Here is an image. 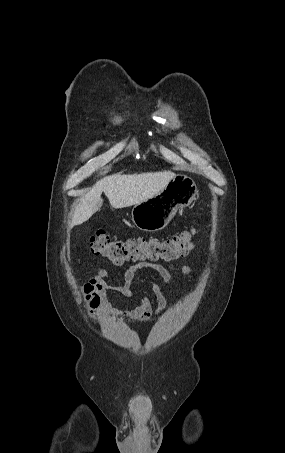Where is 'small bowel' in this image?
Returning a JSON list of instances; mask_svg holds the SVG:
<instances>
[{"label": "small bowel", "mask_w": 285, "mask_h": 453, "mask_svg": "<svg viewBox=\"0 0 285 453\" xmlns=\"http://www.w3.org/2000/svg\"><path fill=\"white\" fill-rule=\"evenodd\" d=\"M144 268H150L159 273L166 283L170 281L173 270L180 269L184 274H190L192 272V268L189 266L175 268L166 267L158 263L141 261L127 268L124 273V283L122 285L110 286L106 282V279L108 278L107 272L103 268H99L97 273L81 287L89 315L93 319H112L120 317L132 321H150L155 313L153 311L152 302L148 297H142L140 303L135 308L128 311L115 310L106 300L108 290L116 291L124 297H131L133 295V285L136 273ZM149 287L157 305L156 314H161L165 311L166 299L158 284L150 282ZM186 300L187 298L184 297L182 303H185Z\"/></svg>", "instance_id": "c3829d8e"}]
</instances>
